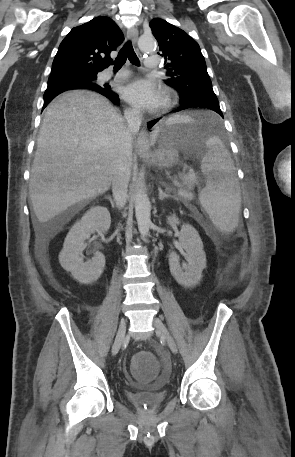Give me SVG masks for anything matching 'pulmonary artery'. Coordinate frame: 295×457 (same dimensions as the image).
I'll return each instance as SVG.
<instances>
[{
    "instance_id": "pulmonary-artery-1",
    "label": "pulmonary artery",
    "mask_w": 295,
    "mask_h": 457,
    "mask_svg": "<svg viewBox=\"0 0 295 457\" xmlns=\"http://www.w3.org/2000/svg\"><path fill=\"white\" fill-rule=\"evenodd\" d=\"M145 66L149 70H153V69L158 68V66H159V58L157 56H154V55L148 56L145 59ZM128 75H129V73L127 71H121V72H118L115 75H113L112 73L106 72V73H104L102 75V79L104 81H108V80H110L112 78H115L117 80H122V79L127 78Z\"/></svg>"
}]
</instances>
